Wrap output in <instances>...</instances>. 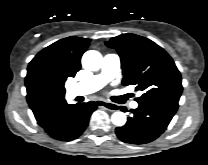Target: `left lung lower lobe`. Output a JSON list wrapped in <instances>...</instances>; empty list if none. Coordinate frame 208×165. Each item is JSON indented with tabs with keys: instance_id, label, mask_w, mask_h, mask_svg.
I'll use <instances>...</instances> for the list:
<instances>
[{
	"instance_id": "obj_1",
	"label": "left lung lower lobe",
	"mask_w": 208,
	"mask_h": 165,
	"mask_svg": "<svg viewBox=\"0 0 208 165\" xmlns=\"http://www.w3.org/2000/svg\"><path fill=\"white\" fill-rule=\"evenodd\" d=\"M177 108L178 102L170 100L139 104L126 125L116 128L117 137L131 144L152 142L166 130Z\"/></svg>"
}]
</instances>
